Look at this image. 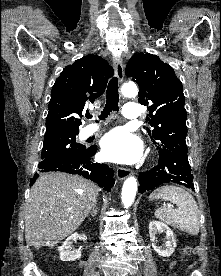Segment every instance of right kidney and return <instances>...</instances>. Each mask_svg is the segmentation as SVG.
Returning <instances> with one entry per match:
<instances>
[{"label": "right kidney", "mask_w": 221, "mask_h": 276, "mask_svg": "<svg viewBox=\"0 0 221 276\" xmlns=\"http://www.w3.org/2000/svg\"><path fill=\"white\" fill-rule=\"evenodd\" d=\"M78 233H74L69 236L62 246L58 248L61 261H74L81 257L80 250H74L72 248L73 241H76L79 238Z\"/></svg>", "instance_id": "obj_1"}]
</instances>
